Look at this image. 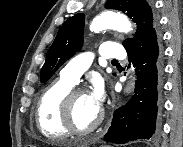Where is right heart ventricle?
<instances>
[{
	"label": "right heart ventricle",
	"mask_w": 183,
	"mask_h": 147,
	"mask_svg": "<svg viewBox=\"0 0 183 147\" xmlns=\"http://www.w3.org/2000/svg\"><path fill=\"white\" fill-rule=\"evenodd\" d=\"M74 84L60 78L49 84L42 92L36 106V123L47 138L56 140L69 136L61 119V103Z\"/></svg>",
	"instance_id": "e07e8e85"
}]
</instances>
